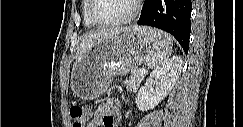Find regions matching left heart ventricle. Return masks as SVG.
<instances>
[{
  "label": "left heart ventricle",
  "instance_id": "left-heart-ventricle-1",
  "mask_svg": "<svg viewBox=\"0 0 243 127\" xmlns=\"http://www.w3.org/2000/svg\"><path fill=\"white\" fill-rule=\"evenodd\" d=\"M132 0H96L94 14L101 21H115L131 13Z\"/></svg>",
  "mask_w": 243,
  "mask_h": 127
}]
</instances>
